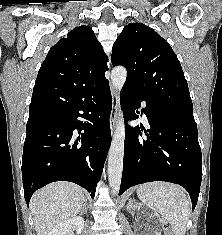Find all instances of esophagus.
Listing matches in <instances>:
<instances>
[{
    "mask_svg": "<svg viewBox=\"0 0 222 235\" xmlns=\"http://www.w3.org/2000/svg\"><path fill=\"white\" fill-rule=\"evenodd\" d=\"M111 91H112V110L110 114V130L111 134H113L115 132L118 112H119V96L113 87H111Z\"/></svg>",
    "mask_w": 222,
    "mask_h": 235,
    "instance_id": "1",
    "label": "esophagus"
}]
</instances>
